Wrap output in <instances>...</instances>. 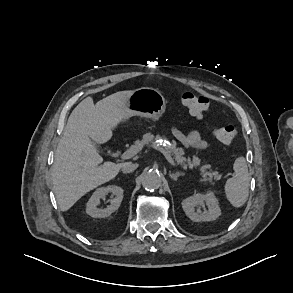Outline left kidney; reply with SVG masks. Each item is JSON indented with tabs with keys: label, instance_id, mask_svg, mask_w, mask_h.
<instances>
[{
	"label": "left kidney",
	"instance_id": "left-kidney-1",
	"mask_svg": "<svg viewBox=\"0 0 293 293\" xmlns=\"http://www.w3.org/2000/svg\"><path fill=\"white\" fill-rule=\"evenodd\" d=\"M208 209H205L204 206ZM182 208L194 222H206L216 220L221 215L218 200L212 191L206 194H193L182 201ZM201 208H204L203 211Z\"/></svg>",
	"mask_w": 293,
	"mask_h": 293
}]
</instances>
